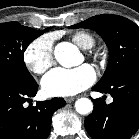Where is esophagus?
<instances>
[{
    "label": "esophagus",
    "mask_w": 139,
    "mask_h": 139,
    "mask_svg": "<svg viewBox=\"0 0 139 139\" xmlns=\"http://www.w3.org/2000/svg\"><path fill=\"white\" fill-rule=\"evenodd\" d=\"M75 99H76L75 97H66V98H65V101H66L67 103H71V102H73Z\"/></svg>",
    "instance_id": "1"
}]
</instances>
